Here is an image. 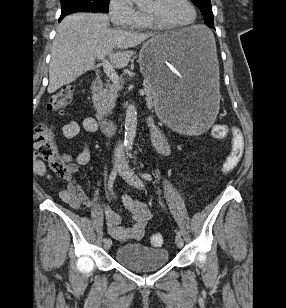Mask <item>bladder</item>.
I'll use <instances>...</instances> for the list:
<instances>
[{"mask_svg": "<svg viewBox=\"0 0 286 308\" xmlns=\"http://www.w3.org/2000/svg\"><path fill=\"white\" fill-rule=\"evenodd\" d=\"M115 260L136 272H151L164 267L169 261L166 248H151L142 243L123 244L115 251Z\"/></svg>", "mask_w": 286, "mask_h": 308, "instance_id": "bladder-1", "label": "bladder"}]
</instances>
